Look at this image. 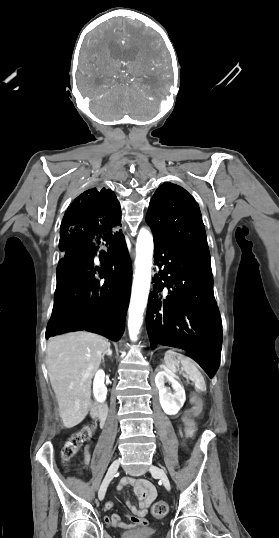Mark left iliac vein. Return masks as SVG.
<instances>
[{
    "label": "left iliac vein",
    "mask_w": 279,
    "mask_h": 538,
    "mask_svg": "<svg viewBox=\"0 0 279 538\" xmlns=\"http://www.w3.org/2000/svg\"><path fill=\"white\" fill-rule=\"evenodd\" d=\"M150 472L152 475L159 477V479L162 481L163 485L167 490L171 489L169 479L166 475V473L159 467L152 465L150 467Z\"/></svg>",
    "instance_id": "left-iliac-vein-1"
}]
</instances>
